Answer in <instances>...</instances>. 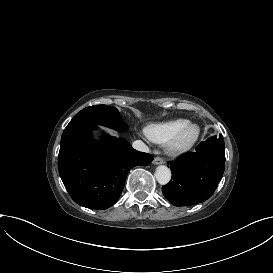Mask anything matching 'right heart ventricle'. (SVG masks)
Returning a JSON list of instances; mask_svg holds the SVG:
<instances>
[{"instance_id":"right-heart-ventricle-1","label":"right heart ventricle","mask_w":273,"mask_h":273,"mask_svg":"<svg viewBox=\"0 0 273 273\" xmlns=\"http://www.w3.org/2000/svg\"><path fill=\"white\" fill-rule=\"evenodd\" d=\"M189 122L188 119L180 118L169 122L152 124L146 128L145 134L152 142L169 143Z\"/></svg>"}]
</instances>
